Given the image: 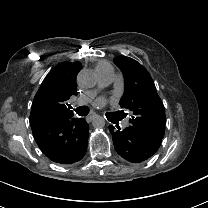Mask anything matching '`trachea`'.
I'll use <instances>...</instances> for the list:
<instances>
[{"label":"trachea","instance_id":"1","mask_svg":"<svg viewBox=\"0 0 208 208\" xmlns=\"http://www.w3.org/2000/svg\"><path fill=\"white\" fill-rule=\"evenodd\" d=\"M75 111L79 116H86L89 113V109L86 106H80Z\"/></svg>","mask_w":208,"mask_h":208}]
</instances>
